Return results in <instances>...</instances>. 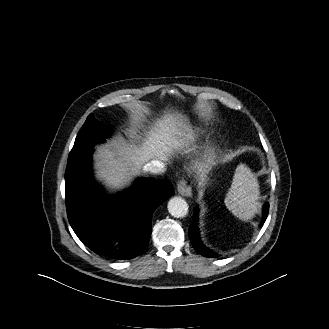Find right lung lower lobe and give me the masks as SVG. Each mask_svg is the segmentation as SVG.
I'll use <instances>...</instances> for the list:
<instances>
[{
  "mask_svg": "<svg viewBox=\"0 0 329 329\" xmlns=\"http://www.w3.org/2000/svg\"><path fill=\"white\" fill-rule=\"evenodd\" d=\"M92 149L67 163L66 208L78 238L96 254L128 260L142 253L152 232L154 210L173 195L167 180L139 179L128 191L107 197L98 193L91 176Z\"/></svg>",
  "mask_w": 329,
  "mask_h": 329,
  "instance_id": "98d812e1",
  "label": "right lung lower lobe"
}]
</instances>
